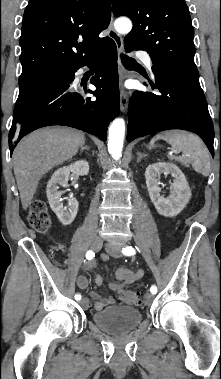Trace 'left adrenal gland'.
I'll use <instances>...</instances> for the list:
<instances>
[{"label": "left adrenal gland", "instance_id": "obj_1", "mask_svg": "<svg viewBox=\"0 0 221 379\" xmlns=\"http://www.w3.org/2000/svg\"><path fill=\"white\" fill-rule=\"evenodd\" d=\"M138 155L139 156L137 158V163H139L141 161V159L146 156L145 154H143V155L142 154H138Z\"/></svg>", "mask_w": 221, "mask_h": 379}]
</instances>
